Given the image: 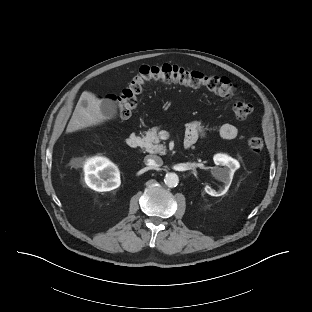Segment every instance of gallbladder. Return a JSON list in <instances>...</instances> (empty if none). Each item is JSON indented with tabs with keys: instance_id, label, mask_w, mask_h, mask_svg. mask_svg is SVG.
<instances>
[{
	"instance_id": "1",
	"label": "gallbladder",
	"mask_w": 312,
	"mask_h": 312,
	"mask_svg": "<svg viewBox=\"0 0 312 312\" xmlns=\"http://www.w3.org/2000/svg\"><path fill=\"white\" fill-rule=\"evenodd\" d=\"M100 112L107 119L115 118L117 115L116 102L111 99H102L100 101Z\"/></svg>"
}]
</instances>
